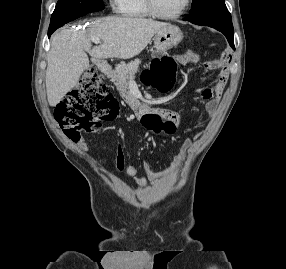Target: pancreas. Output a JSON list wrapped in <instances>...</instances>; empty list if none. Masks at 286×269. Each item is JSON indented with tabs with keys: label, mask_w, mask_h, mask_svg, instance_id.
Returning a JSON list of instances; mask_svg holds the SVG:
<instances>
[{
	"label": "pancreas",
	"mask_w": 286,
	"mask_h": 269,
	"mask_svg": "<svg viewBox=\"0 0 286 269\" xmlns=\"http://www.w3.org/2000/svg\"><path fill=\"white\" fill-rule=\"evenodd\" d=\"M140 63L141 61L136 59L128 64H121L111 74L112 82L117 87L120 96L127 102L135 99L130 92L129 83L134 79Z\"/></svg>",
	"instance_id": "pancreas-1"
}]
</instances>
